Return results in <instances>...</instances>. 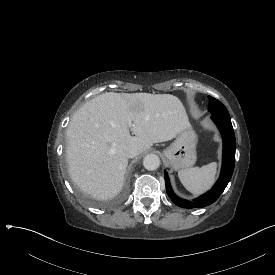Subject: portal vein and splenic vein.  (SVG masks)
Here are the masks:
<instances>
[{"mask_svg": "<svg viewBox=\"0 0 275 275\" xmlns=\"http://www.w3.org/2000/svg\"><path fill=\"white\" fill-rule=\"evenodd\" d=\"M132 127H134V124L132 122V117L129 115L127 116V128L131 129Z\"/></svg>", "mask_w": 275, "mask_h": 275, "instance_id": "obj_1", "label": "portal vein and splenic vein"}]
</instances>
